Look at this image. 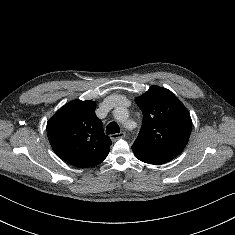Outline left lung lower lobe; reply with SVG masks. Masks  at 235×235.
I'll use <instances>...</instances> for the list:
<instances>
[{
    "instance_id": "0a47b994",
    "label": "left lung lower lobe",
    "mask_w": 235,
    "mask_h": 235,
    "mask_svg": "<svg viewBox=\"0 0 235 235\" xmlns=\"http://www.w3.org/2000/svg\"><path fill=\"white\" fill-rule=\"evenodd\" d=\"M134 154L140 161L149 163V164H155V165L164 164L172 160V159L162 157V156L148 155V154L137 153V152H134Z\"/></svg>"
}]
</instances>
